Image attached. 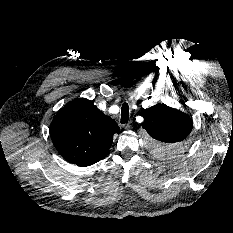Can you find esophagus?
Listing matches in <instances>:
<instances>
[{"label": "esophagus", "instance_id": "obj_1", "mask_svg": "<svg viewBox=\"0 0 233 233\" xmlns=\"http://www.w3.org/2000/svg\"><path fill=\"white\" fill-rule=\"evenodd\" d=\"M123 127H124V129H130L132 127V121L128 122Z\"/></svg>", "mask_w": 233, "mask_h": 233}]
</instances>
